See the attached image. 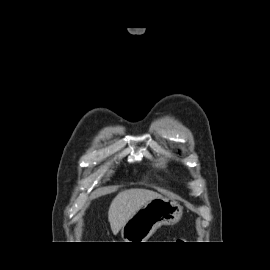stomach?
<instances>
[{
    "mask_svg": "<svg viewBox=\"0 0 270 270\" xmlns=\"http://www.w3.org/2000/svg\"><path fill=\"white\" fill-rule=\"evenodd\" d=\"M182 207L167 197L155 198L143 205L121 229L124 242H146L162 225L177 223Z\"/></svg>",
    "mask_w": 270,
    "mask_h": 270,
    "instance_id": "0dacf381",
    "label": "stomach"
}]
</instances>
